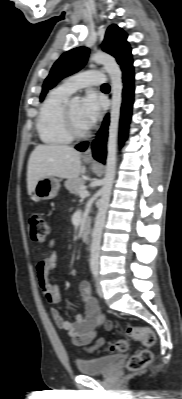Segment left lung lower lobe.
Wrapping results in <instances>:
<instances>
[{
	"label": "left lung lower lobe",
	"instance_id": "0a47b994",
	"mask_svg": "<svg viewBox=\"0 0 182 399\" xmlns=\"http://www.w3.org/2000/svg\"><path fill=\"white\" fill-rule=\"evenodd\" d=\"M134 73L133 68H128L123 71V103L121 107V120H120V143L127 138L128 125L131 117V110L133 104L134 95ZM109 125V115H107L103 121V125L98 132L97 138L92 143L93 157L101 163H105L106 157V139H107V127ZM88 146V142L81 143L75 148L79 151H85Z\"/></svg>",
	"mask_w": 182,
	"mask_h": 399
}]
</instances>
